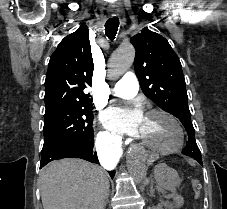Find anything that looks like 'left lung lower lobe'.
I'll return each mask as SVG.
<instances>
[{
    "label": "left lung lower lobe",
    "mask_w": 227,
    "mask_h": 209,
    "mask_svg": "<svg viewBox=\"0 0 227 209\" xmlns=\"http://www.w3.org/2000/svg\"><path fill=\"white\" fill-rule=\"evenodd\" d=\"M194 159H196V158H194ZM199 163H201L202 164V161H200V160H198V159H196Z\"/></svg>",
    "instance_id": "obj_1"
}]
</instances>
